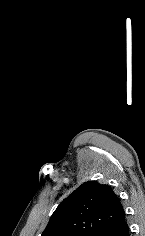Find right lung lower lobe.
<instances>
[{
	"label": "right lung lower lobe",
	"mask_w": 145,
	"mask_h": 236,
	"mask_svg": "<svg viewBox=\"0 0 145 236\" xmlns=\"http://www.w3.org/2000/svg\"><path fill=\"white\" fill-rule=\"evenodd\" d=\"M97 236H130V230L125 215L102 230Z\"/></svg>",
	"instance_id": "right-lung-lower-lobe-1"
}]
</instances>
